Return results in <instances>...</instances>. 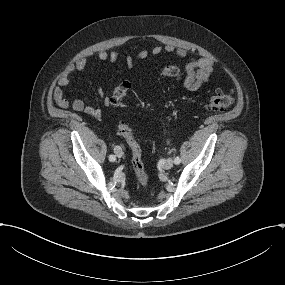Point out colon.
Returning a JSON list of instances; mask_svg holds the SVG:
<instances>
[{
  "instance_id": "5ec220e1",
  "label": "colon",
  "mask_w": 285,
  "mask_h": 285,
  "mask_svg": "<svg viewBox=\"0 0 285 285\" xmlns=\"http://www.w3.org/2000/svg\"><path fill=\"white\" fill-rule=\"evenodd\" d=\"M162 74L167 77H180L182 71L174 65H169L163 68ZM131 91V84L128 81H122L113 91L111 95V102L114 106H121L128 94ZM234 103V97L230 92L227 91H217L212 95L207 103L206 107L210 110L222 112L227 110ZM118 133L126 140L131 152H132V168L139 184L147 188L149 184L148 174L144 168L143 162L141 160V149L132 134L129 126L123 122L119 123L117 126Z\"/></svg>"
}]
</instances>
